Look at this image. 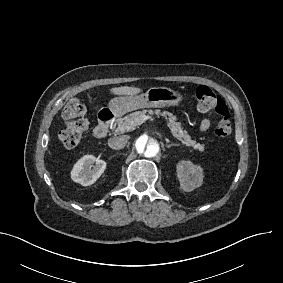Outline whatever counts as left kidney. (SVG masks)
Segmentation results:
<instances>
[{"instance_id": "5707ae66", "label": "left kidney", "mask_w": 283, "mask_h": 283, "mask_svg": "<svg viewBox=\"0 0 283 283\" xmlns=\"http://www.w3.org/2000/svg\"><path fill=\"white\" fill-rule=\"evenodd\" d=\"M180 187L185 192H191L203 183V169L191 161H179L176 165Z\"/></svg>"}]
</instances>
